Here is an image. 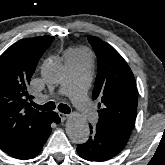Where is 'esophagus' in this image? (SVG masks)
Listing matches in <instances>:
<instances>
[{
	"mask_svg": "<svg viewBox=\"0 0 165 165\" xmlns=\"http://www.w3.org/2000/svg\"><path fill=\"white\" fill-rule=\"evenodd\" d=\"M59 117L61 121H65L69 117V115L64 113H59Z\"/></svg>",
	"mask_w": 165,
	"mask_h": 165,
	"instance_id": "esophagus-1",
	"label": "esophagus"
}]
</instances>
